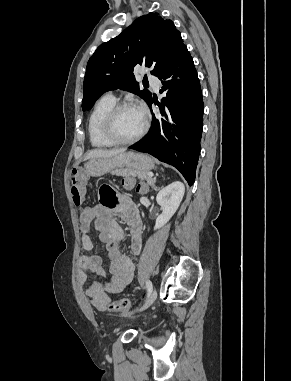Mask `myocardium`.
I'll return each mask as SVG.
<instances>
[{"instance_id":"1","label":"myocardium","mask_w":291,"mask_h":381,"mask_svg":"<svg viewBox=\"0 0 291 381\" xmlns=\"http://www.w3.org/2000/svg\"><path fill=\"white\" fill-rule=\"evenodd\" d=\"M128 107H135V105L131 102L124 101V102H119L116 103L103 117L102 122H101V132L103 136L109 140L111 143L114 145H129L133 144L137 141H139L147 132L149 123L146 118L144 117V124L140 132L135 135L134 137L130 139H121L119 138L115 131H114V121L119 114L120 111H122L125 108Z\"/></svg>"}]
</instances>
